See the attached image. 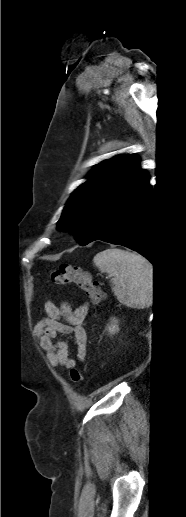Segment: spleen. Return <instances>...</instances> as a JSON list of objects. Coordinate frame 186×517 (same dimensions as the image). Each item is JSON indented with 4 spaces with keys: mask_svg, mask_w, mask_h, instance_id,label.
<instances>
[{
    "mask_svg": "<svg viewBox=\"0 0 186 517\" xmlns=\"http://www.w3.org/2000/svg\"><path fill=\"white\" fill-rule=\"evenodd\" d=\"M93 262L112 277V290L122 304L142 309L153 303L154 269L144 257L112 248L96 254Z\"/></svg>",
    "mask_w": 186,
    "mask_h": 517,
    "instance_id": "obj_1",
    "label": "spleen"
}]
</instances>
